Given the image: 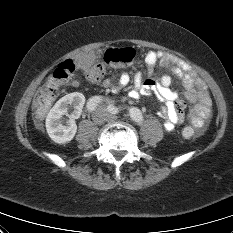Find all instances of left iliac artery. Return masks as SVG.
Returning a JSON list of instances; mask_svg holds the SVG:
<instances>
[{
	"instance_id": "1",
	"label": "left iliac artery",
	"mask_w": 233,
	"mask_h": 233,
	"mask_svg": "<svg viewBox=\"0 0 233 233\" xmlns=\"http://www.w3.org/2000/svg\"><path fill=\"white\" fill-rule=\"evenodd\" d=\"M107 109L110 113H113V114H118L122 110V108L115 107L113 105H109ZM128 110H129V115L132 118V120L138 123H141V121H143V116L140 110H138L135 107H130L128 108Z\"/></svg>"
}]
</instances>
